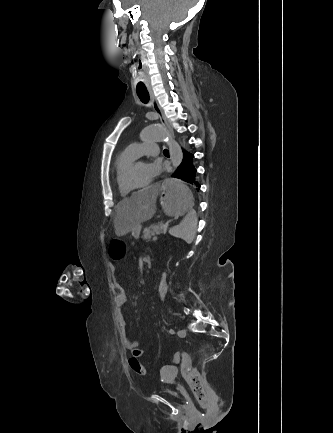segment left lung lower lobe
<instances>
[{"label": "left lung lower lobe", "mask_w": 333, "mask_h": 433, "mask_svg": "<svg viewBox=\"0 0 333 433\" xmlns=\"http://www.w3.org/2000/svg\"><path fill=\"white\" fill-rule=\"evenodd\" d=\"M194 154L187 147L183 150V159L177 170L173 173L172 177L179 178L187 183L188 186H198L196 182V168L194 166Z\"/></svg>", "instance_id": "1"}]
</instances>
